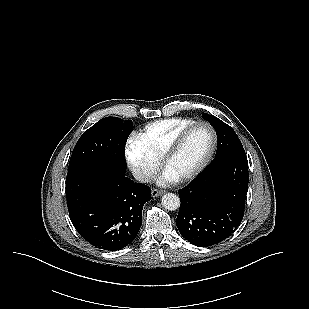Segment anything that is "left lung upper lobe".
<instances>
[{"label": "left lung upper lobe", "mask_w": 309, "mask_h": 309, "mask_svg": "<svg viewBox=\"0 0 309 309\" xmlns=\"http://www.w3.org/2000/svg\"><path fill=\"white\" fill-rule=\"evenodd\" d=\"M202 117L214 127L217 133L218 147L214 160L229 153L244 151L237 134L229 125L213 115L204 114Z\"/></svg>", "instance_id": "1"}]
</instances>
